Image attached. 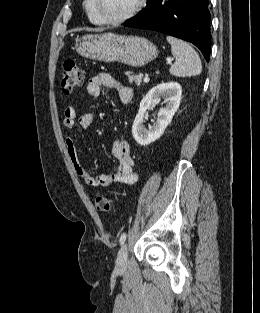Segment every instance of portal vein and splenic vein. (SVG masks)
Returning a JSON list of instances; mask_svg holds the SVG:
<instances>
[{"label": "portal vein and splenic vein", "instance_id": "1", "mask_svg": "<svg viewBox=\"0 0 260 313\" xmlns=\"http://www.w3.org/2000/svg\"><path fill=\"white\" fill-rule=\"evenodd\" d=\"M149 80H150V78L148 77V75H146L145 78H144V82H145V83H148Z\"/></svg>", "mask_w": 260, "mask_h": 313}]
</instances>
